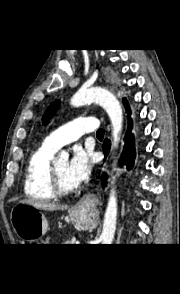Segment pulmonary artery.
I'll return each instance as SVG.
<instances>
[{
    "label": "pulmonary artery",
    "instance_id": "1",
    "mask_svg": "<svg viewBox=\"0 0 180 294\" xmlns=\"http://www.w3.org/2000/svg\"><path fill=\"white\" fill-rule=\"evenodd\" d=\"M98 126L95 117H81L62 125L52 132L44 143L56 150L63 145L78 140L84 133L94 131Z\"/></svg>",
    "mask_w": 180,
    "mask_h": 294
}]
</instances>
